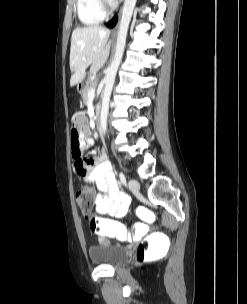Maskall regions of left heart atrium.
Masks as SVG:
<instances>
[{
    "label": "left heart atrium",
    "mask_w": 247,
    "mask_h": 304,
    "mask_svg": "<svg viewBox=\"0 0 247 304\" xmlns=\"http://www.w3.org/2000/svg\"><path fill=\"white\" fill-rule=\"evenodd\" d=\"M109 1H111V2H115V1H118V0H109Z\"/></svg>",
    "instance_id": "left-heart-atrium-1"
}]
</instances>
